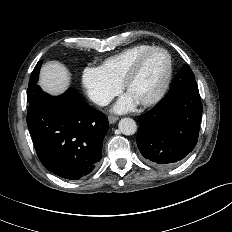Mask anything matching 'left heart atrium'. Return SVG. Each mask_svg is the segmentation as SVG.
<instances>
[{"label":"left heart atrium","mask_w":232,"mask_h":232,"mask_svg":"<svg viewBox=\"0 0 232 232\" xmlns=\"http://www.w3.org/2000/svg\"><path fill=\"white\" fill-rule=\"evenodd\" d=\"M138 104V101L135 100L128 93L120 98V100L114 106V111L116 112H125L131 110L135 105Z\"/></svg>","instance_id":"obj_1"}]
</instances>
